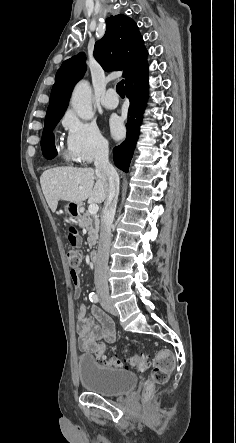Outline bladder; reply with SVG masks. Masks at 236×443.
Returning <instances> with one entry per match:
<instances>
[{
  "label": "bladder",
  "mask_w": 236,
  "mask_h": 443,
  "mask_svg": "<svg viewBox=\"0 0 236 443\" xmlns=\"http://www.w3.org/2000/svg\"><path fill=\"white\" fill-rule=\"evenodd\" d=\"M80 382L87 392L105 397L120 396L136 385V374L100 364L93 355H80L77 359Z\"/></svg>",
  "instance_id": "1"
}]
</instances>
